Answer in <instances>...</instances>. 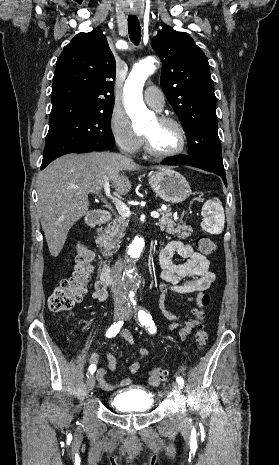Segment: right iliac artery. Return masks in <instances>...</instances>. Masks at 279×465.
Returning <instances> with one entry per match:
<instances>
[{"label":"right iliac artery","instance_id":"1","mask_svg":"<svg viewBox=\"0 0 279 465\" xmlns=\"http://www.w3.org/2000/svg\"><path fill=\"white\" fill-rule=\"evenodd\" d=\"M123 325V320H120L116 323H114L113 325H111V327L108 329V331L106 332V337L108 338H111V337H114L117 335V333L120 331L121 327ZM96 370V366L95 365H91L89 367V372L92 374L94 373Z\"/></svg>","mask_w":279,"mask_h":465}]
</instances>
